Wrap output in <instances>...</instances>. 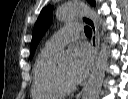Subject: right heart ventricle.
<instances>
[{"instance_id": "e07e8e85", "label": "right heart ventricle", "mask_w": 128, "mask_h": 99, "mask_svg": "<svg viewBox=\"0 0 128 99\" xmlns=\"http://www.w3.org/2000/svg\"><path fill=\"white\" fill-rule=\"evenodd\" d=\"M56 53V50L45 46L35 61L31 88L34 99H61L66 94L56 77Z\"/></svg>"}]
</instances>
